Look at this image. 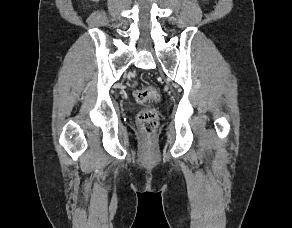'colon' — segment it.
<instances>
[{
	"label": "colon",
	"instance_id": "obj_1",
	"mask_svg": "<svg viewBox=\"0 0 292 228\" xmlns=\"http://www.w3.org/2000/svg\"><path fill=\"white\" fill-rule=\"evenodd\" d=\"M134 96L136 101L141 104L158 102L160 99L157 90L151 86L136 89ZM158 120V112L152 107H147L139 112L137 121L147 139H150L154 135L158 126Z\"/></svg>",
	"mask_w": 292,
	"mask_h": 228
}]
</instances>
